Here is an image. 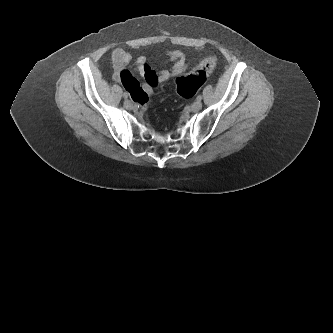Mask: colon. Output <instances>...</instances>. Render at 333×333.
I'll list each match as a JSON object with an SVG mask.
<instances>
[{"mask_svg":"<svg viewBox=\"0 0 333 333\" xmlns=\"http://www.w3.org/2000/svg\"><path fill=\"white\" fill-rule=\"evenodd\" d=\"M216 62L214 57L207 58L189 75L178 77L175 81L177 93L184 98L194 96L205 83L208 73L214 70Z\"/></svg>","mask_w":333,"mask_h":333,"instance_id":"1","label":"colon"}]
</instances>
